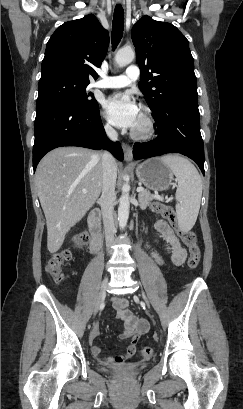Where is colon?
<instances>
[{
	"instance_id": "colon-1",
	"label": "colon",
	"mask_w": 243,
	"mask_h": 409,
	"mask_svg": "<svg viewBox=\"0 0 243 409\" xmlns=\"http://www.w3.org/2000/svg\"><path fill=\"white\" fill-rule=\"evenodd\" d=\"M152 211L167 219L171 225L176 229L180 239L186 245L190 252L188 266L196 268L200 262L201 252L197 244V236L193 230H181L178 227L176 213L172 206L159 202L152 204ZM88 237L86 235H79L75 239L76 250H81L86 245ZM72 257V251L69 249H62L54 253L48 260L46 270L55 282L60 283L64 280L62 273V265L69 261ZM140 355L143 359H150L153 356V349L151 347H142Z\"/></svg>"
}]
</instances>
